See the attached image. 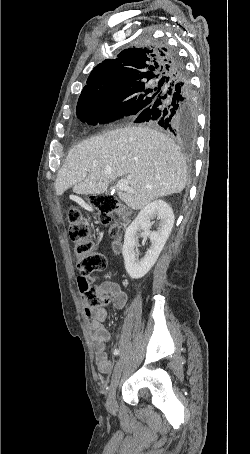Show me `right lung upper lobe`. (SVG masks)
Returning a JSON list of instances; mask_svg holds the SVG:
<instances>
[{
    "label": "right lung upper lobe",
    "mask_w": 250,
    "mask_h": 454,
    "mask_svg": "<svg viewBox=\"0 0 250 454\" xmlns=\"http://www.w3.org/2000/svg\"><path fill=\"white\" fill-rule=\"evenodd\" d=\"M170 68L166 48L153 42L132 46L92 70L78 104L115 98L150 80L161 86Z\"/></svg>",
    "instance_id": "right-lung-upper-lobe-1"
}]
</instances>
